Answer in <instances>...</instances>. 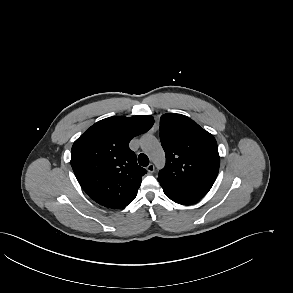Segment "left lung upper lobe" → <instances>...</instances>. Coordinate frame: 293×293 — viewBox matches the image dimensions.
<instances>
[{"instance_id":"obj_1","label":"left lung upper lobe","mask_w":293,"mask_h":293,"mask_svg":"<svg viewBox=\"0 0 293 293\" xmlns=\"http://www.w3.org/2000/svg\"><path fill=\"white\" fill-rule=\"evenodd\" d=\"M160 140L166 165L158 180L163 190L197 199L211 189L219 172L220 157L215 138L189 117L164 114Z\"/></svg>"}]
</instances>
